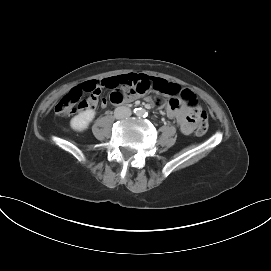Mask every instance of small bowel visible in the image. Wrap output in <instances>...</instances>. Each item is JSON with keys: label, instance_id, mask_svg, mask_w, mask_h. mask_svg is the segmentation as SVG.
Here are the masks:
<instances>
[{"label": "small bowel", "instance_id": "1", "mask_svg": "<svg viewBox=\"0 0 271 271\" xmlns=\"http://www.w3.org/2000/svg\"><path fill=\"white\" fill-rule=\"evenodd\" d=\"M89 84L95 86L97 93L87 99L85 108H93L98 104V95L102 88L112 90L110 98L114 103L129 102L137 97H147L148 91H158L165 95H173L178 91V86L175 83L142 73H127L101 80H91L82 83L80 87L85 89ZM184 92L191 94L188 90L182 91V93ZM147 100L151 103L163 104L168 117L177 120L183 134L189 135L194 131L196 126L195 115L201 111L198 104L196 106L186 105L181 103L176 97H170L164 103L153 100L150 97ZM105 104V101L102 102V105Z\"/></svg>", "mask_w": 271, "mask_h": 271}]
</instances>
